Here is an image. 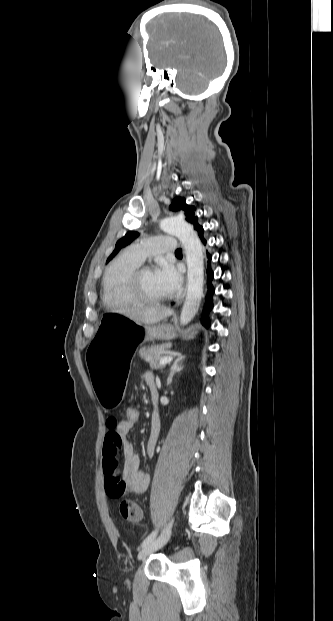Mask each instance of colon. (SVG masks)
<instances>
[{
  "instance_id": "colon-1",
  "label": "colon",
  "mask_w": 333,
  "mask_h": 621,
  "mask_svg": "<svg viewBox=\"0 0 333 621\" xmlns=\"http://www.w3.org/2000/svg\"><path fill=\"white\" fill-rule=\"evenodd\" d=\"M125 412V421L128 423L135 425L140 418V412L138 408L134 405H128L124 409ZM120 514L121 516L128 522L137 523L142 518V511L140 507L131 500H124L120 504Z\"/></svg>"
}]
</instances>
